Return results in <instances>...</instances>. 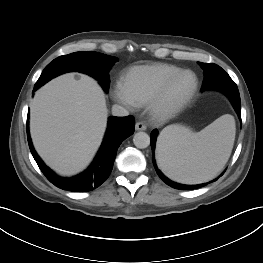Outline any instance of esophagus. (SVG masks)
<instances>
[{"mask_svg": "<svg viewBox=\"0 0 263 263\" xmlns=\"http://www.w3.org/2000/svg\"><path fill=\"white\" fill-rule=\"evenodd\" d=\"M137 131H145L147 129L146 125L142 122H137L135 125Z\"/></svg>", "mask_w": 263, "mask_h": 263, "instance_id": "obj_1", "label": "esophagus"}]
</instances>
